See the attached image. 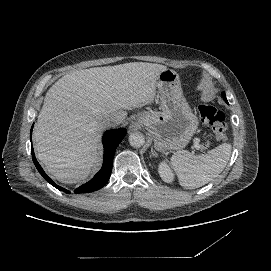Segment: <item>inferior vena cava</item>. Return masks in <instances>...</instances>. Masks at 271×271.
<instances>
[{"label": "inferior vena cava", "mask_w": 271, "mask_h": 271, "mask_svg": "<svg viewBox=\"0 0 271 271\" xmlns=\"http://www.w3.org/2000/svg\"><path fill=\"white\" fill-rule=\"evenodd\" d=\"M98 123L101 125V127L107 128V127H116L120 123L119 119H114L108 116H101L98 118Z\"/></svg>", "instance_id": "inferior-vena-cava-1"}]
</instances>
